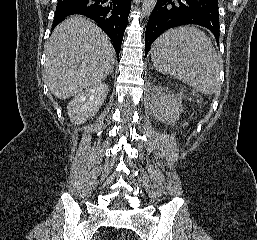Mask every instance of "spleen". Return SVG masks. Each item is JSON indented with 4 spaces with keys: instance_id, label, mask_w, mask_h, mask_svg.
Listing matches in <instances>:
<instances>
[{
    "instance_id": "spleen-1",
    "label": "spleen",
    "mask_w": 257,
    "mask_h": 240,
    "mask_svg": "<svg viewBox=\"0 0 257 240\" xmlns=\"http://www.w3.org/2000/svg\"><path fill=\"white\" fill-rule=\"evenodd\" d=\"M151 60L160 73L203 94L221 89V62L210 38L198 28L184 26L164 32L152 45Z\"/></svg>"
}]
</instances>
